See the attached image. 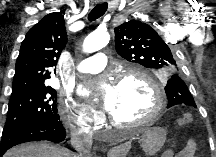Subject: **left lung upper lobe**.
I'll return each instance as SVG.
<instances>
[{"label":"left lung upper lobe","instance_id":"1","mask_svg":"<svg viewBox=\"0 0 216 157\" xmlns=\"http://www.w3.org/2000/svg\"><path fill=\"white\" fill-rule=\"evenodd\" d=\"M157 30V27L137 20H129L115 27L117 53L129 62L169 74L170 78L165 87L168 104L176 102L196 107L186 84L179 77L181 64H177V59L172 56L176 54V49L167 45L168 39H162Z\"/></svg>","mask_w":216,"mask_h":157}]
</instances>
